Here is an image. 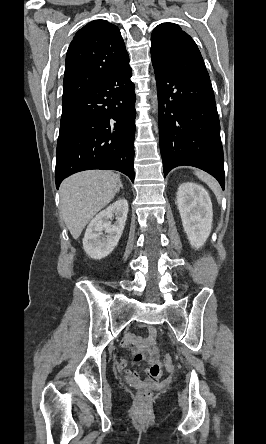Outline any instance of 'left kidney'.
<instances>
[{
	"mask_svg": "<svg viewBox=\"0 0 266 444\" xmlns=\"http://www.w3.org/2000/svg\"><path fill=\"white\" fill-rule=\"evenodd\" d=\"M177 206L191 246L196 249L202 247L209 237L213 221L208 192L199 184L183 183L177 191Z\"/></svg>",
	"mask_w": 266,
	"mask_h": 444,
	"instance_id": "1",
	"label": "left kidney"
}]
</instances>
